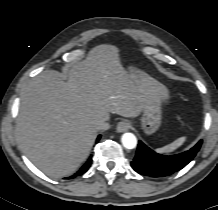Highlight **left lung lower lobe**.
Masks as SVG:
<instances>
[{
  "label": "left lung lower lobe",
  "instance_id": "obj_1",
  "mask_svg": "<svg viewBox=\"0 0 218 210\" xmlns=\"http://www.w3.org/2000/svg\"><path fill=\"white\" fill-rule=\"evenodd\" d=\"M201 144L202 140L186 152L165 156L155 153L139 141L131 166L136 172L145 176L165 177L185 167L195 157Z\"/></svg>",
  "mask_w": 218,
  "mask_h": 210
}]
</instances>
